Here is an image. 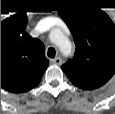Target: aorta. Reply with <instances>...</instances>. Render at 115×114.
Here are the masks:
<instances>
[{
	"instance_id": "aorta-1",
	"label": "aorta",
	"mask_w": 115,
	"mask_h": 114,
	"mask_svg": "<svg viewBox=\"0 0 115 114\" xmlns=\"http://www.w3.org/2000/svg\"><path fill=\"white\" fill-rule=\"evenodd\" d=\"M52 35L55 37V42L61 47L62 50L71 47L70 41L60 30L53 31Z\"/></svg>"
}]
</instances>
